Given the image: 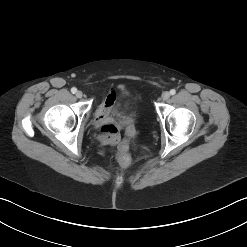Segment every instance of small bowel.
<instances>
[{"mask_svg":"<svg viewBox=\"0 0 247 247\" xmlns=\"http://www.w3.org/2000/svg\"><path fill=\"white\" fill-rule=\"evenodd\" d=\"M123 112L114 91H110L104 97L94 112V124L102 132V142L109 146H118L119 152H127L129 149V143L120 139V127L116 121L122 118ZM129 135L132 139H135L137 133L135 130H130Z\"/></svg>","mask_w":247,"mask_h":247,"instance_id":"obj_1","label":"small bowel"}]
</instances>
